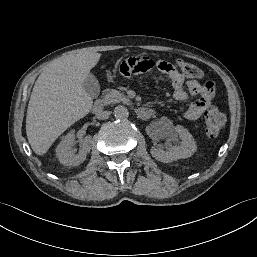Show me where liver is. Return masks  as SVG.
<instances>
[{"mask_svg": "<svg viewBox=\"0 0 257 257\" xmlns=\"http://www.w3.org/2000/svg\"><path fill=\"white\" fill-rule=\"evenodd\" d=\"M100 57L96 52L61 57L39 75L26 115L28 142L37 155L45 154L67 128L90 112L93 100L82 84Z\"/></svg>", "mask_w": 257, "mask_h": 257, "instance_id": "6515ba94", "label": "liver"}]
</instances>
